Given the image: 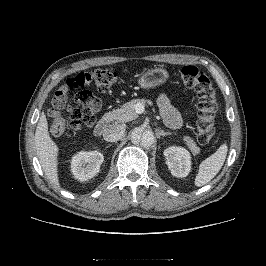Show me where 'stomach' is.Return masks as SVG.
<instances>
[{"label": "stomach", "instance_id": "1", "mask_svg": "<svg viewBox=\"0 0 266 266\" xmlns=\"http://www.w3.org/2000/svg\"><path fill=\"white\" fill-rule=\"evenodd\" d=\"M169 78V74L162 66L154 67L143 72L138 85L143 89H153L164 84Z\"/></svg>", "mask_w": 266, "mask_h": 266}]
</instances>
